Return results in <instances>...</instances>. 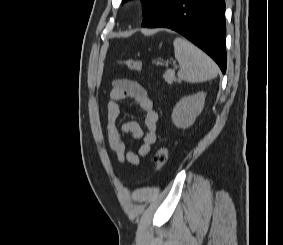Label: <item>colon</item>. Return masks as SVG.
Returning a JSON list of instances; mask_svg holds the SVG:
<instances>
[{"instance_id": "1", "label": "colon", "mask_w": 283, "mask_h": 245, "mask_svg": "<svg viewBox=\"0 0 283 245\" xmlns=\"http://www.w3.org/2000/svg\"><path fill=\"white\" fill-rule=\"evenodd\" d=\"M121 62L125 63L126 66L134 72H140L142 70V64L139 60L133 59V58H127L121 60ZM168 149L166 146H160L155 155H154V162H155V170L157 172H160L162 168L165 166V164L168 161Z\"/></svg>"}]
</instances>
